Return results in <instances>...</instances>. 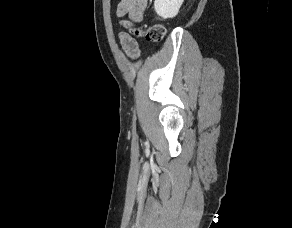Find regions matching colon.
Listing matches in <instances>:
<instances>
[{"instance_id": "obj_1", "label": "colon", "mask_w": 292, "mask_h": 228, "mask_svg": "<svg viewBox=\"0 0 292 228\" xmlns=\"http://www.w3.org/2000/svg\"><path fill=\"white\" fill-rule=\"evenodd\" d=\"M132 33L137 37H143L150 42H160L166 35L163 25L156 24L144 29H134Z\"/></svg>"}]
</instances>
